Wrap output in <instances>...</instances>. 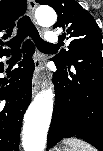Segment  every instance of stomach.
Instances as JSON below:
<instances>
[{
  "label": "stomach",
  "instance_id": "1",
  "mask_svg": "<svg viewBox=\"0 0 103 151\" xmlns=\"http://www.w3.org/2000/svg\"><path fill=\"white\" fill-rule=\"evenodd\" d=\"M57 151H72V148H69V147H67V146H64V147L58 149Z\"/></svg>",
  "mask_w": 103,
  "mask_h": 151
}]
</instances>
